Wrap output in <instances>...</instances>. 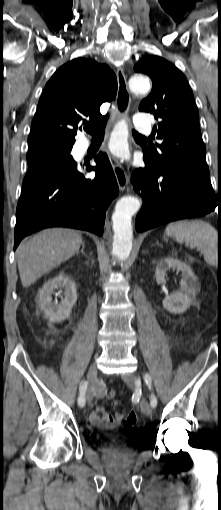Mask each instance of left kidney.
<instances>
[{"label": "left kidney", "mask_w": 221, "mask_h": 510, "mask_svg": "<svg viewBox=\"0 0 221 510\" xmlns=\"http://www.w3.org/2000/svg\"><path fill=\"white\" fill-rule=\"evenodd\" d=\"M177 269L182 272L183 279L180 282V290L166 295L163 300V307L174 314L184 313L194 301L198 288V281L191 267L179 259L167 257L161 259L156 266L155 279L157 284H163L166 272L170 269Z\"/></svg>", "instance_id": "obj_1"}]
</instances>
